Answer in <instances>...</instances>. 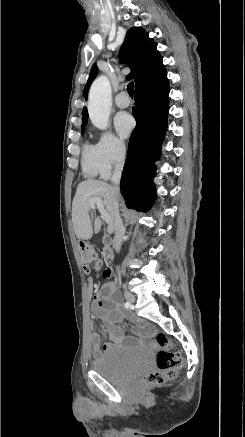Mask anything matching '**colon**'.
Returning <instances> with one entry per match:
<instances>
[{"label": "colon", "mask_w": 245, "mask_h": 437, "mask_svg": "<svg viewBox=\"0 0 245 437\" xmlns=\"http://www.w3.org/2000/svg\"><path fill=\"white\" fill-rule=\"evenodd\" d=\"M81 261L86 273L91 271L99 272L103 266V260L98 251L91 245L82 244L80 246ZM111 270L106 268L103 271L105 278L110 277ZM158 352L156 355V369L149 372L143 378L146 384H162L176 378L182 366L181 355L173 351V345L164 333L156 336Z\"/></svg>", "instance_id": "obj_1"}]
</instances>
